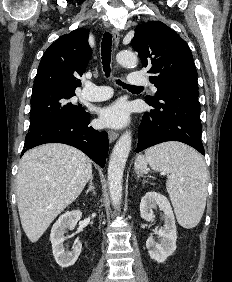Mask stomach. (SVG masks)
<instances>
[{
  "mask_svg": "<svg viewBox=\"0 0 232 282\" xmlns=\"http://www.w3.org/2000/svg\"><path fill=\"white\" fill-rule=\"evenodd\" d=\"M148 171L147 167L141 168V169H136L137 174H144Z\"/></svg>",
  "mask_w": 232,
  "mask_h": 282,
  "instance_id": "0dacf381",
  "label": "stomach"
}]
</instances>
